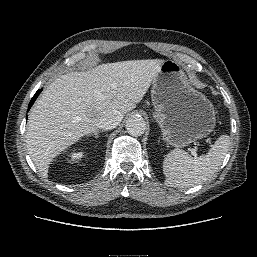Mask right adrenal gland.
Instances as JSON below:
<instances>
[{"instance_id":"1","label":"right adrenal gland","mask_w":257,"mask_h":257,"mask_svg":"<svg viewBox=\"0 0 257 257\" xmlns=\"http://www.w3.org/2000/svg\"><path fill=\"white\" fill-rule=\"evenodd\" d=\"M104 131V130H99L96 129L94 132H92L91 134H89V136H94L96 139L98 138V134L99 132Z\"/></svg>"}]
</instances>
